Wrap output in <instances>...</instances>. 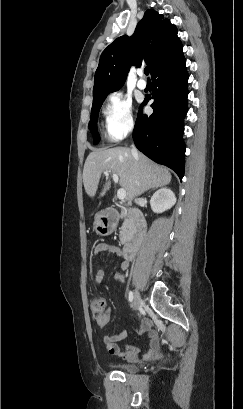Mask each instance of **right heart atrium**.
I'll return each instance as SVG.
<instances>
[{"instance_id":"right-heart-atrium-1","label":"right heart atrium","mask_w":243,"mask_h":409,"mask_svg":"<svg viewBox=\"0 0 243 409\" xmlns=\"http://www.w3.org/2000/svg\"><path fill=\"white\" fill-rule=\"evenodd\" d=\"M105 132L109 139L120 140L135 126L131 100L121 92L108 95L104 109Z\"/></svg>"}]
</instances>
